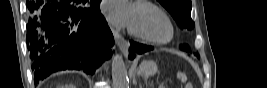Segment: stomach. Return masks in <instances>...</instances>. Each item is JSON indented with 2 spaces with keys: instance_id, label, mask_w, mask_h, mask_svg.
Masks as SVG:
<instances>
[{
  "instance_id": "0dacf381",
  "label": "stomach",
  "mask_w": 267,
  "mask_h": 88,
  "mask_svg": "<svg viewBox=\"0 0 267 88\" xmlns=\"http://www.w3.org/2000/svg\"><path fill=\"white\" fill-rule=\"evenodd\" d=\"M157 64L154 61H144L138 68V73L144 76L154 75L157 72Z\"/></svg>"
}]
</instances>
